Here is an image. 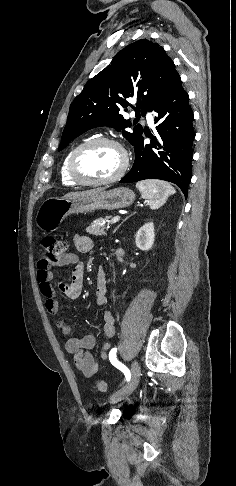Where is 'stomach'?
Segmentation results:
<instances>
[{"label": "stomach", "mask_w": 236, "mask_h": 486, "mask_svg": "<svg viewBox=\"0 0 236 486\" xmlns=\"http://www.w3.org/2000/svg\"><path fill=\"white\" fill-rule=\"evenodd\" d=\"M134 200V192L127 187H118L73 198L53 197L42 202L35 221L42 231L53 232L70 214L125 208L130 206Z\"/></svg>", "instance_id": "1"}]
</instances>
